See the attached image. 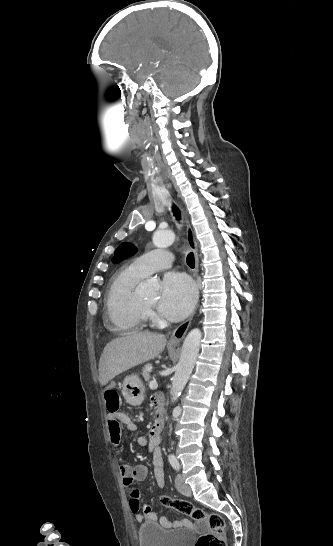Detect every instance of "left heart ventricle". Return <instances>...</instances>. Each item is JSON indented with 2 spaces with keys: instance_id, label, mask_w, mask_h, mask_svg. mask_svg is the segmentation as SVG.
Here are the masks:
<instances>
[{
  "instance_id": "obj_1",
  "label": "left heart ventricle",
  "mask_w": 333,
  "mask_h": 546,
  "mask_svg": "<svg viewBox=\"0 0 333 546\" xmlns=\"http://www.w3.org/2000/svg\"><path fill=\"white\" fill-rule=\"evenodd\" d=\"M144 302L149 306H154L157 302V299L144 300Z\"/></svg>"
}]
</instances>
